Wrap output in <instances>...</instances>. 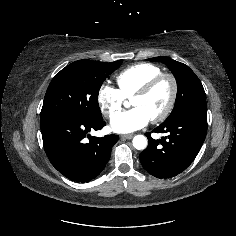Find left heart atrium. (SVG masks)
Wrapping results in <instances>:
<instances>
[{
    "label": "left heart atrium",
    "mask_w": 236,
    "mask_h": 236,
    "mask_svg": "<svg viewBox=\"0 0 236 236\" xmlns=\"http://www.w3.org/2000/svg\"><path fill=\"white\" fill-rule=\"evenodd\" d=\"M150 120L142 109L136 107L115 115L110 125L117 133H131L145 127Z\"/></svg>",
    "instance_id": "39dd6f15"
}]
</instances>
